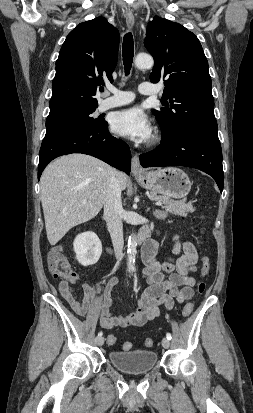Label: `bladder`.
<instances>
[{
	"label": "bladder",
	"mask_w": 253,
	"mask_h": 413,
	"mask_svg": "<svg viewBox=\"0 0 253 413\" xmlns=\"http://www.w3.org/2000/svg\"><path fill=\"white\" fill-rule=\"evenodd\" d=\"M157 353L149 349H136L130 351H111L110 363L118 370L128 374H144L157 365Z\"/></svg>",
	"instance_id": "31cf9c89"
}]
</instances>
